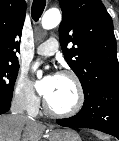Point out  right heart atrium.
I'll return each mask as SVG.
<instances>
[{"instance_id": "obj_1", "label": "right heart atrium", "mask_w": 119, "mask_h": 141, "mask_svg": "<svg viewBox=\"0 0 119 141\" xmlns=\"http://www.w3.org/2000/svg\"><path fill=\"white\" fill-rule=\"evenodd\" d=\"M14 98L15 101L26 110L35 109L38 105V98L33 85L25 73H21L16 80Z\"/></svg>"}]
</instances>
